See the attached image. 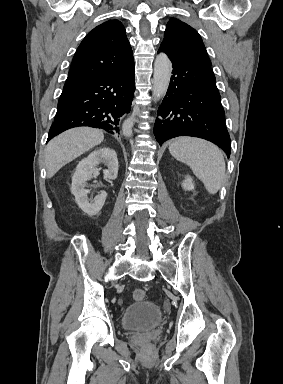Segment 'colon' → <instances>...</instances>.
Masks as SVG:
<instances>
[{"label": "colon", "instance_id": "colon-1", "mask_svg": "<svg viewBox=\"0 0 283 384\" xmlns=\"http://www.w3.org/2000/svg\"><path fill=\"white\" fill-rule=\"evenodd\" d=\"M146 297H147V293H146V291L143 290V289H136V290H134V292H133V298H134V300L137 301V302H142V301H144V300L146 299Z\"/></svg>", "mask_w": 283, "mask_h": 384}]
</instances>
